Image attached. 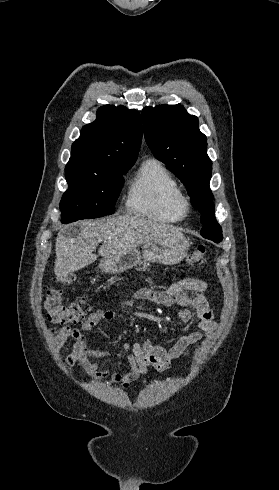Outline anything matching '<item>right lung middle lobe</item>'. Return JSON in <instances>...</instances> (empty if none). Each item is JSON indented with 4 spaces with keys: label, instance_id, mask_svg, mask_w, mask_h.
Listing matches in <instances>:
<instances>
[{
    "label": "right lung middle lobe",
    "instance_id": "1",
    "mask_svg": "<svg viewBox=\"0 0 279 490\" xmlns=\"http://www.w3.org/2000/svg\"><path fill=\"white\" fill-rule=\"evenodd\" d=\"M131 167L123 166L105 173L66 172L68 190L60 202L61 221L71 223L113 214L124 184L123 175Z\"/></svg>",
    "mask_w": 279,
    "mask_h": 490
}]
</instances>
